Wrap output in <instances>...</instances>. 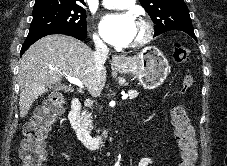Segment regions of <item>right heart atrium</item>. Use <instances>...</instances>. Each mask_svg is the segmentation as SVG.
<instances>
[{"label": "right heart atrium", "mask_w": 227, "mask_h": 166, "mask_svg": "<svg viewBox=\"0 0 227 166\" xmlns=\"http://www.w3.org/2000/svg\"><path fill=\"white\" fill-rule=\"evenodd\" d=\"M93 40H94V43L98 46H103L104 45V41L102 40V38L98 35V34H94L93 35Z\"/></svg>", "instance_id": "1"}]
</instances>
